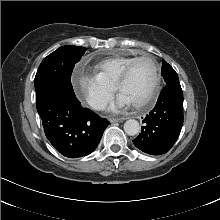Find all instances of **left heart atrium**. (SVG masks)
Here are the masks:
<instances>
[{"label":"left heart atrium","mask_w":220,"mask_h":220,"mask_svg":"<svg viewBox=\"0 0 220 220\" xmlns=\"http://www.w3.org/2000/svg\"><path fill=\"white\" fill-rule=\"evenodd\" d=\"M131 102L122 94H119L117 99L113 101L109 107L110 111H119L120 109H123L124 107L130 105Z\"/></svg>","instance_id":"obj_1"}]
</instances>
